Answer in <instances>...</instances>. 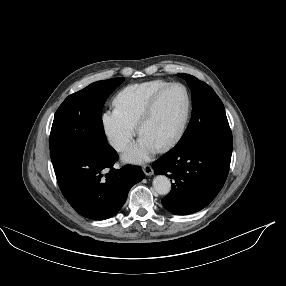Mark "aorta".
Here are the masks:
<instances>
[{
    "instance_id": "762f6f07",
    "label": "aorta",
    "mask_w": 286,
    "mask_h": 286,
    "mask_svg": "<svg viewBox=\"0 0 286 286\" xmlns=\"http://www.w3.org/2000/svg\"><path fill=\"white\" fill-rule=\"evenodd\" d=\"M153 188L157 193L166 195L171 190V182L165 175H157L153 179Z\"/></svg>"
}]
</instances>
